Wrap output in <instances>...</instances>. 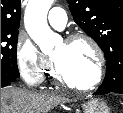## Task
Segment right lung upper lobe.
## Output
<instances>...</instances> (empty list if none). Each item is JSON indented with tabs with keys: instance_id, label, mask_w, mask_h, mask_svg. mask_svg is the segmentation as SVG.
<instances>
[{
	"instance_id": "cb5924a9",
	"label": "right lung upper lobe",
	"mask_w": 123,
	"mask_h": 113,
	"mask_svg": "<svg viewBox=\"0 0 123 113\" xmlns=\"http://www.w3.org/2000/svg\"><path fill=\"white\" fill-rule=\"evenodd\" d=\"M20 10V0H1V30H18Z\"/></svg>"
}]
</instances>
